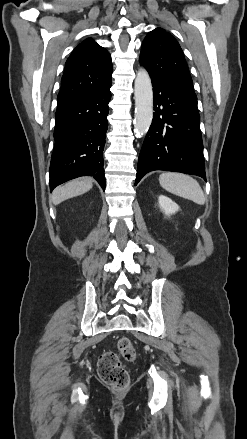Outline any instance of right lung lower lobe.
<instances>
[{
  "mask_svg": "<svg viewBox=\"0 0 247 439\" xmlns=\"http://www.w3.org/2000/svg\"><path fill=\"white\" fill-rule=\"evenodd\" d=\"M110 87L58 105L49 170L51 191L59 184L83 175L93 176L105 189L103 150Z\"/></svg>",
  "mask_w": 247,
  "mask_h": 439,
  "instance_id": "1",
  "label": "right lung lower lobe"
}]
</instances>
